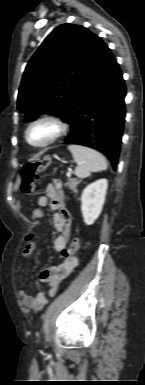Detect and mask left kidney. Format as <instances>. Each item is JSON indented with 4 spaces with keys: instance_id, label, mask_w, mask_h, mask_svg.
<instances>
[{
    "instance_id": "obj_1",
    "label": "left kidney",
    "mask_w": 145,
    "mask_h": 385,
    "mask_svg": "<svg viewBox=\"0 0 145 385\" xmlns=\"http://www.w3.org/2000/svg\"><path fill=\"white\" fill-rule=\"evenodd\" d=\"M107 188V180L100 179L89 184L83 190L81 196V211L86 225H92L101 214Z\"/></svg>"
}]
</instances>
